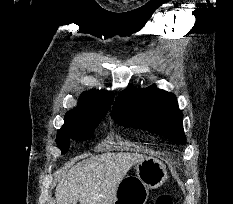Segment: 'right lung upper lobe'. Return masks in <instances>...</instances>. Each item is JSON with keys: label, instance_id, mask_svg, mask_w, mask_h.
Masks as SVG:
<instances>
[{"label": "right lung upper lobe", "instance_id": "cb5924a9", "mask_svg": "<svg viewBox=\"0 0 233 204\" xmlns=\"http://www.w3.org/2000/svg\"><path fill=\"white\" fill-rule=\"evenodd\" d=\"M112 101V92H107L105 90L83 92L79 98L78 107L66 113L65 124L62 128L80 120L105 116L110 109Z\"/></svg>", "mask_w": 233, "mask_h": 204}]
</instances>
